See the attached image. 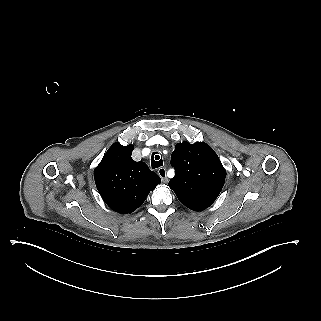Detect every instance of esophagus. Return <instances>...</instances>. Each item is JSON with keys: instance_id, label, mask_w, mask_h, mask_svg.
<instances>
[{"instance_id": "obj_1", "label": "esophagus", "mask_w": 321, "mask_h": 321, "mask_svg": "<svg viewBox=\"0 0 321 321\" xmlns=\"http://www.w3.org/2000/svg\"><path fill=\"white\" fill-rule=\"evenodd\" d=\"M166 169L164 167H161L158 169V174L160 176V178L162 179V181L164 183H167L168 182V178H167V175H166Z\"/></svg>"}]
</instances>
